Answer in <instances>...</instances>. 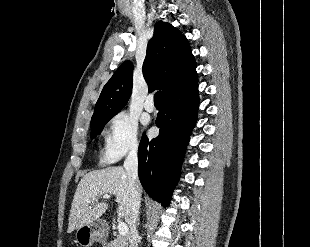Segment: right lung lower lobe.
Wrapping results in <instances>:
<instances>
[{"instance_id":"obj_1","label":"right lung lower lobe","mask_w":310,"mask_h":247,"mask_svg":"<svg viewBox=\"0 0 310 247\" xmlns=\"http://www.w3.org/2000/svg\"><path fill=\"white\" fill-rule=\"evenodd\" d=\"M197 82L163 98L156 119L159 136L149 141L143 135L139 145L140 182L148 195L163 206H168L171 200L189 135L196 123L199 106Z\"/></svg>"}]
</instances>
